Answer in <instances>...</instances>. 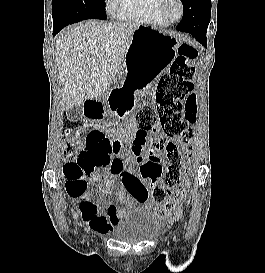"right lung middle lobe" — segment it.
<instances>
[{"label":"right lung middle lobe","instance_id":"obj_1","mask_svg":"<svg viewBox=\"0 0 265 273\" xmlns=\"http://www.w3.org/2000/svg\"><path fill=\"white\" fill-rule=\"evenodd\" d=\"M52 17L54 28L86 19L105 20V0H52Z\"/></svg>","mask_w":265,"mask_h":273}]
</instances>
